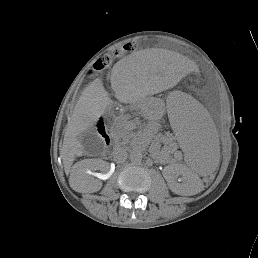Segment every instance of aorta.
I'll use <instances>...</instances> for the list:
<instances>
[{"label": "aorta", "mask_w": 258, "mask_h": 258, "mask_svg": "<svg viewBox=\"0 0 258 258\" xmlns=\"http://www.w3.org/2000/svg\"><path fill=\"white\" fill-rule=\"evenodd\" d=\"M130 159L133 163L138 164L142 160V154L140 151L133 150L130 154Z\"/></svg>", "instance_id": "aorta-1"}]
</instances>
